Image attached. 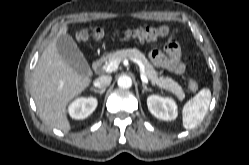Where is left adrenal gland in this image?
<instances>
[{"instance_id":"1","label":"left adrenal gland","mask_w":249,"mask_h":165,"mask_svg":"<svg viewBox=\"0 0 249 165\" xmlns=\"http://www.w3.org/2000/svg\"><path fill=\"white\" fill-rule=\"evenodd\" d=\"M142 86H143L142 93H144L145 91H151V88H148L144 82H142Z\"/></svg>"}]
</instances>
